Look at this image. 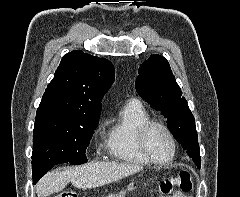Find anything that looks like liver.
<instances>
[{"instance_id": "liver-1", "label": "liver", "mask_w": 240, "mask_h": 197, "mask_svg": "<svg viewBox=\"0 0 240 197\" xmlns=\"http://www.w3.org/2000/svg\"><path fill=\"white\" fill-rule=\"evenodd\" d=\"M141 170L139 165L116 162H91L82 166L52 170L39 180L36 192L38 197L49 196L62 191L69 182L76 188H96Z\"/></svg>"}]
</instances>
